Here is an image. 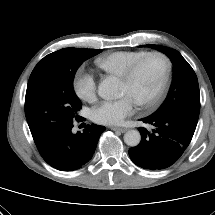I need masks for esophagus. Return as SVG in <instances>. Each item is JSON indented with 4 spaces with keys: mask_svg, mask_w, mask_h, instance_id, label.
<instances>
[{
    "mask_svg": "<svg viewBox=\"0 0 215 215\" xmlns=\"http://www.w3.org/2000/svg\"><path fill=\"white\" fill-rule=\"evenodd\" d=\"M111 129L114 131H119L121 133H124L127 131V128H120V127H111Z\"/></svg>",
    "mask_w": 215,
    "mask_h": 215,
    "instance_id": "34e87169",
    "label": "esophagus"
}]
</instances>
